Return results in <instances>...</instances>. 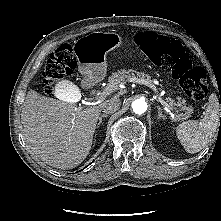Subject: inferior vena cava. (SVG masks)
I'll return each instance as SVG.
<instances>
[{
    "mask_svg": "<svg viewBox=\"0 0 221 221\" xmlns=\"http://www.w3.org/2000/svg\"><path fill=\"white\" fill-rule=\"evenodd\" d=\"M121 106L120 99L111 98L103 103L102 112L105 114H111L116 112Z\"/></svg>",
    "mask_w": 221,
    "mask_h": 221,
    "instance_id": "602c4592",
    "label": "inferior vena cava"
}]
</instances>
